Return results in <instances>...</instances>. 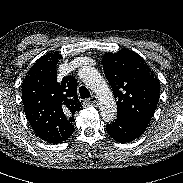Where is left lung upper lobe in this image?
Wrapping results in <instances>:
<instances>
[{
    "label": "left lung upper lobe",
    "mask_w": 183,
    "mask_h": 183,
    "mask_svg": "<svg viewBox=\"0 0 183 183\" xmlns=\"http://www.w3.org/2000/svg\"><path fill=\"white\" fill-rule=\"evenodd\" d=\"M103 69L117 101V117L148 124L154 115L160 82L138 54L122 49L103 56Z\"/></svg>",
    "instance_id": "5c2ea615"
}]
</instances>
